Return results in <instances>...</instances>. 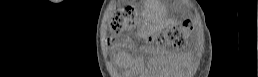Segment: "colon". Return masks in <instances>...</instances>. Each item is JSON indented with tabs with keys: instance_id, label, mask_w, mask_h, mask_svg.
Returning <instances> with one entry per match:
<instances>
[{
	"instance_id": "5ec220e1",
	"label": "colon",
	"mask_w": 258,
	"mask_h": 77,
	"mask_svg": "<svg viewBox=\"0 0 258 77\" xmlns=\"http://www.w3.org/2000/svg\"><path fill=\"white\" fill-rule=\"evenodd\" d=\"M135 25H137V20L133 12L130 9H123L114 13L109 24V30L113 33H119L124 27ZM185 29H190V23L188 21L183 24L168 27L161 36V42L164 44L170 43L179 45L184 38ZM147 40L150 42L153 41V35L148 34Z\"/></svg>"
}]
</instances>
